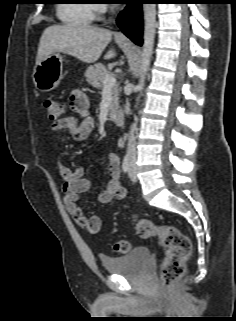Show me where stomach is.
Instances as JSON below:
<instances>
[{"instance_id":"stomach-1","label":"stomach","mask_w":236,"mask_h":321,"mask_svg":"<svg viewBox=\"0 0 236 321\" xmlns=\"http://www.w3.org/2000/svg\"><path fill=\"white\" fill-rule=\"evenodd\" d=\"M63 56L60 53H53L43 58L35 65L33 70V82L41 92L54 90L62 79Z\"/></svg>"}]
</instances>
